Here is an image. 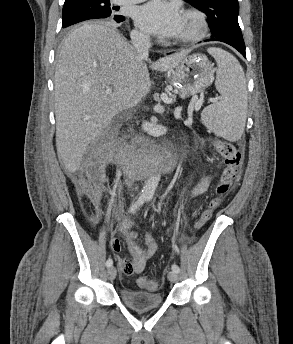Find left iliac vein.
<instances>
[{"label": "left iliac vein", "instance_id": "4c4485c4", "mask_svg": "<svg viewBox=\"0 0 293 344\" xmlns=\"http://www.w3.org/2000/svg\"><path fill=\"white\" fill-rule=\"evenodd\" d=\"M168 279H169V281L175 283L179 280V275L177 272L172 270V271L168 272Z\"/></svg>", "mask_w": 293, "mask_h": 344}]
</instances>
